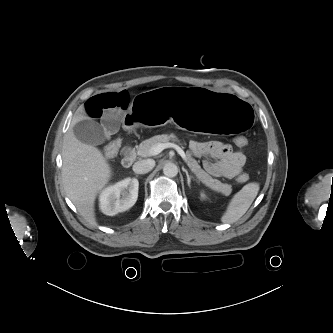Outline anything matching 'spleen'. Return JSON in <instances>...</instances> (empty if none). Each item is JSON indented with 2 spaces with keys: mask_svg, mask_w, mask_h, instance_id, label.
Returning a JSON list of instances; mask_svg holds the SVG:
<instances>
[{
  "mask_svg": "<svg viewBox=\"0 0 333 333\" xmlns=\"http://www.w3.org/2000/svg\"><path fill=\"white\" fill-rule=\"evenodd\" d=\"M258 183H248L230 200L226 212L221 217L223 223H234L249 209L259 192Z\"/></svg>",
  "mask_w": 333,
  "mask_h": 333,
  "instance_id": "spleen-1",
  "label": "spleen"
}]
</instances>
